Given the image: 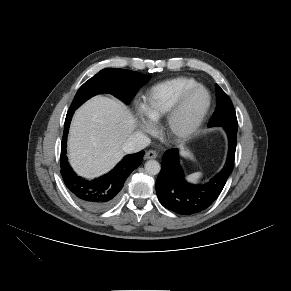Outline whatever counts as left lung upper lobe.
<instances>
[{
	"label": "left lung upper lobe",
	"instance_id": "left-lung-upper-lobe-1",
	"mask_svg": "<svg viewBox=\"0 0 291 291\" xmlns=\"http://www.w3.org/2000/svg\"><path fill=\"white\" fill-rule=\"evenodd\" d=\"M217 106L209 125L229 122L238 124L234 106L229 96L216 84Z\"/></svg>",
	"mask_w": 291,
	"mask_h": 291
}]
</instances>
